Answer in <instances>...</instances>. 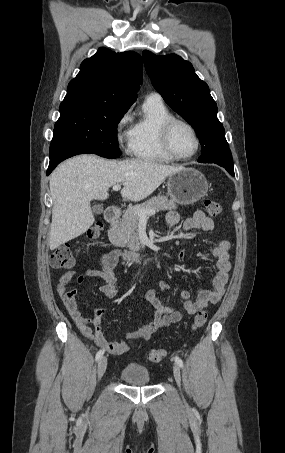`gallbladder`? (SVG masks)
I'll return each mask as SVG.
<instances>
[{
  "mask_svg": "<svg viewBox=\"0 0 285 453\" xmlns=\"http://www.w3.org/2000/svg\"><path fill=\"white\" fill-rule=\"evenodd\" d=\"M92 210L95 214H101L103 212V207L101 205H95Z\"/></svg>",
  "mask_w": 285,
  "mask_h": 453,
  "instance_id": "1",
  "label": "gallbladder"
}]
</instances>
